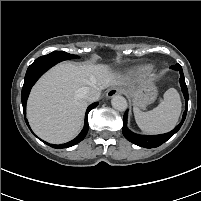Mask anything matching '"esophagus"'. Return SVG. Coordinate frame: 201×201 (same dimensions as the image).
Returning <instances> with one entry per match:
<instances>
[{"label":"esophagus","mask_w":201,"mask_h":201,"mask_svg":"<svg viewBox=\"0 0 201 201\" xmlns=\"http://www.w3.org/2000/svg\"><path fill=\"white\" fill-rule=\"evenodd\" d=\"M121 93V88L119 87H112L107 91L106 96L108 98H112L113 96L120 94Z\"/></svg>","instance_id":"obj_1"}]
</instances>
